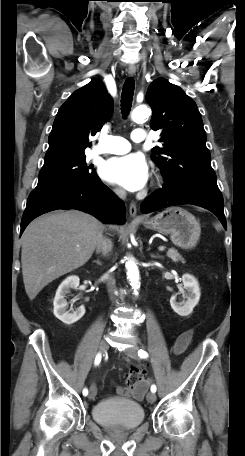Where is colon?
<instances>
[{"instance_id": "colon-1", "label": "colon", "mask_w": 245, "mask_h": 456, "mask_svg": "<svg viewBox=\"0 0 245 456\" xmlns=\"http://www.w3.org/2000/svg\"><path fill=\"white\" fill-rule=\"evenodd\" d=\"M144 376V370L140 367L133 368L130 372L126 375V384L129 387H133L137 385Z\"/></svg>"}]
</instances>
